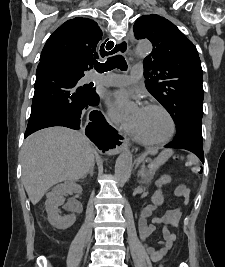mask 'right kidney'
Instances as JSON below:
<instances>
[{
    "mask_svg": "<svg viewBox=\"0 0 225 267\" xmlns=\"http://www.w3.org/2000/svg\"><path fill=\"white\" fill-rule=\"evenodd\" d=\"M82 193L81 185L69 181L55 186L50 193L47 194L46 211L48 214V221L50 224L58 229H67L71 227L76 216L74 214L67 216H60L58 207L63 204L64 196L67 194Z\"/></svg>",
    "mask_w": 225,
    "mask_h": 267,
    "instance_id": "right-kidney-1",
    "label": "right kidney"
}]
</instances>
